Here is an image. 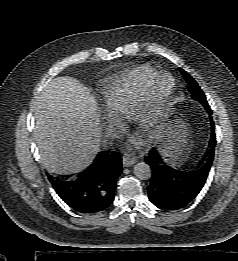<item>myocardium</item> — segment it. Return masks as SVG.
<instances>
[{"instance_id": "myocardium-1", "label": "myocardium", "mask_w": 238, "mask_h": 261, "mask_svg": "<svg viewBox=\"0 0 238 261\" xmlns=\"http://www.w3.org/2000/svg\"><path fill=\"white\" fill-rule=\"evenodd\" d=\"M161 77L169 78L170 86L161 97L156 98L153 95V87ZM175 88L176 79L171 73L160 71L152 75L145 83L141 97L133 111L135 126L151 131L159 122Z\"/></svg>"}]
</instances>
